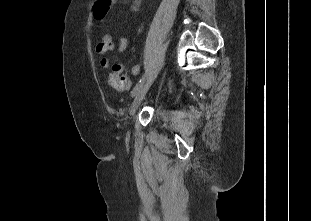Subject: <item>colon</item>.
I'll list each match as a JSON object with an SVG mask.
<instances>
[{
	"instance_id": "colon-1",
	"label": "colon",
	"mask_w": 311,
	"mask_h": 221,
	"mask_svg": "<svg viewBox=\"0 0 311 221\" xmlns=\"http://www.w3.org/2000/svg\"><path fill=\"white\" fill-rule=\"evenodd\" d=\"M116 0H96L94 2L93 17H96L98 22H103L105 17H108V12H112V5L115 4ZM106 49V46L104 47ZM104 49H101V52H104ZM118 79V71L114 70L109 76V82L113 85L116 84Z\"/></svg>"
}]
</instances>
